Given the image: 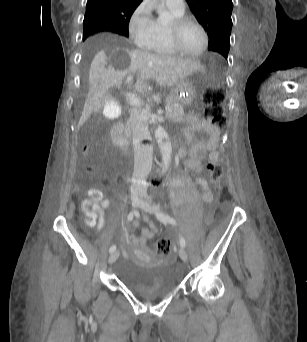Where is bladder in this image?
Masks as SVG:
<instances>
[{
    "label": "bladder",
    "instance_id": "bladder-1",
    "mask_svg": "<svg viewBox=\"0 0 307 342\" xmlns=\"http://www.w3.org/2000/svg\"><path fill=\"white\" fill-rule=\"evenodd\" d=\"M122 284L134 294L145 298H158L175 290L180 281L170 269L150 266L127 258L119 273Z\"/></svg>",
    "mask_w": 307,
    "mask_h": 342
}]
</instances>
